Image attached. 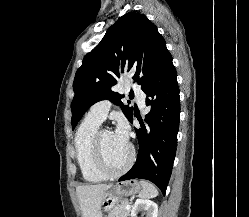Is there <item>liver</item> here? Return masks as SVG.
Segmentation results:
<instances>
[{"instance_id": "obj_1", "label": "liver", "mask_w": 249, "mask_h": 217, "mask_svg": "<svg viewBox=\"0 0 249 217\" xmlns=\"http://www.w3.org/2000/svg\"><path fill=\"white\" fill-rule=\"evenodd\" d=\"M112 185H84L76 188L83 217H102L101 201Z\"/></svg>"}]
</instances>
